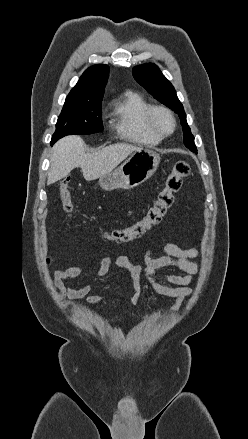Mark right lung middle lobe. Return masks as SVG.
<instances>
[{"mask_svg": "<svg viewBox=\"0 0 248 439\" xmlns=\"http://www.w3.org/2000/svg\"><path fill=\"white\" fill-rule=\"evenodd\" d=\"M101 102L65 101L56 123L51 145L66 135L101 132L103 130Z\"/></svg>", "mask_w": 248, "mask_h": 439, "instance_id": "obj_1", "label": "right lung middle lobe"}]
</instances>
